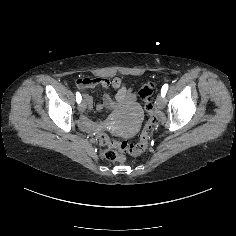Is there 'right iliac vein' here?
Here are the masks:
<instances>
[{
    "mask_svg": "<svg viewBox=\"0 0 236 236\" xmlns=\"http://www.w3.org/2000/svg\"><path fill=\"white\" fill-rule=\"evenodd\" d=\"M78 108H79V110H80L81 112H83V111L86 109V103H85V101H82V102L79 104Z\"/></svg>",
    "mask_w": 236,
    "mask_h": 236,
    "instance_id": "right-iliac-vein-1",
    "label": "right iliac vein"
}]
</instances>
